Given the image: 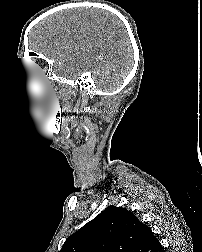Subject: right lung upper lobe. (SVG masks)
<instances>
[{
  "label": "right lung upper lobe",
  "instance_id": "cb5924a9",
  "mask_svg": "<svg viewBox=\"0 0 202 252\" xmlns=\"http://www.w3.org/2000/svg\"><path fill=\"white\" fill-rule=\"evenodd\" d=\"M162 245L133 212L109 206L73 233L59 252H162Z\"/></svg>",
  "mask_w": 202,
  "mask_h": 252
}]
</instances>
